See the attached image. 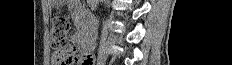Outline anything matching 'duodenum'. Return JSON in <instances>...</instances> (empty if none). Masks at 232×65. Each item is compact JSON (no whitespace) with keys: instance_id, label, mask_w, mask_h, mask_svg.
<instances>
[{"instance_id":"410a0bca","label":"duodenum","mask_w":232,"mask_h":65,"mask_svg":"<svg viewBox=\"0 0 232 65\" xmlns=\"http://www.w3.org/2000/svg\"><path fill=\"white\" fill-rule=\"evenodd\" d=\"M95 38V22L93 18H88L86 25L80 34V41L86 52L91 51L94 48Z\"/></svg>"}]
</instances>
